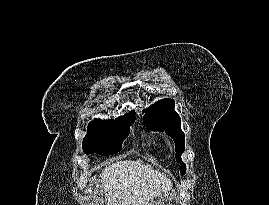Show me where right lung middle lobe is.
Masks as SVG:
<instances>
[{
	"label": "right lung middle lobe",
	"instance_id": "dd1d6c3e",
	"mask_svg": "<svg viewBox=\"0 0 269 205\" xmlns=\"http://www.w3.org/2000/svg\"><path fill=\"white\" fill-rule=\"evenodd\" d=\"M134 121L135 116L109 121L95 120L89 123L87 135L83 139L84 153L108 155L119 151L123 140L130 133L129 126Z\"/></svg>",
	"mask_w": 269,
	"mask_h": 205
}]
</instances>
